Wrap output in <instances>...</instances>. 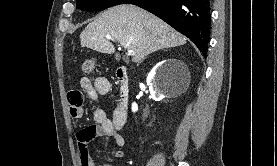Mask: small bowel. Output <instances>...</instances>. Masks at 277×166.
<instances>
[{
  "instance_id": "small-bowel-1",
  "label": "small bowel",
  "mask_w": 277,
  "mask_h": 166,
  "mask_svg": "<svg viewBox=\"0 0 277 166\" xmlns=\"http://www.w3.org/2000/svg\"><path fill=\"white\" fill-rule=\"evenodd\" d=\"M81 90H71L67 93L69 115L73 120H79L83 116V102L85 96L91 101L99 103V97L111 91V84L106 77H96L93 81L87 77L80 79ZM95 124L81 128L77 134L79 162L81 166H95L89 153V144L96 138H108L115 142L118 150L112 153L110 159H120L124 156L122 147L125 144L120 134L126 120L121 118L117 107L114 109L112 118H108L105 111L97 107L94 111ZM104 166H110L105 164Z\"/></svg>"
}]
</instances>
